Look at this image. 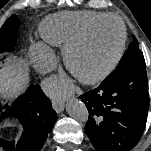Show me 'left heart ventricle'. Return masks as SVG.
Listing matches in <instances>:
<instances>
[{
	"instance_id": "left-heart-ventricle-1",
	"label": "left heart ventricle",
	"mask_w": 151,
	"mask_h": 151,
	"mask_svg": "<svg viewBox=\"0 0 151 151\" xmlns=\"http://www.w3.org/2000/svg\"><path fill=\"white\" fill-rule=\"evenodd\" d=\"M120 37L121 31L117 22L109 20L100 24L73 54L77 71L87 76L107 66L117 52Z\"/></svg>"
}]
</instances>
